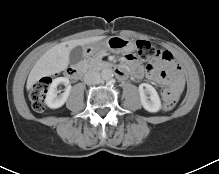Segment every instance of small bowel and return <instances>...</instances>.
<instances>
[{
	"mask_svg": "<svg viewBox=\"0 0 219 174\" xmlns=\"http://www.w3.org/2000/svg\"><path fill=\"white\" fill-rule=\"evenodd\" d=\"M133 77L141 78L143 68L137 64L133 55H128L125 59ZM147 77L158 83L168 84L170 89H162L160 98L171 102L181 100V91L184 87V76L181 68L177 64L173 54L168 50H160L150 61L147 67Z\"/></svg>",
	"mask_w": 219,
	"mask_h": 174,
	"instance_id": "small-bowel-1",
	"label": "small bowel"
}]
</instances>
